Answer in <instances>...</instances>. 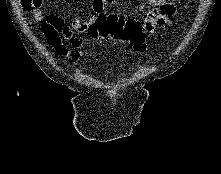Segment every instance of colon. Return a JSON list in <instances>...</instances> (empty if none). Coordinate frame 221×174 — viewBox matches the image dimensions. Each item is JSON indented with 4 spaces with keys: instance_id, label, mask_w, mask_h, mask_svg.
Listing matches in <instances>:
<instances>
[{
    "instance_id": "colon-1",
    "label": "colon",
    "mask_w": 221,
    "mask_h": 174,
    "mask_svg": "<svg viewBox=\"0 0 221 174\" xmlns=\"http://www.w3.org/2000/svg\"><path fill=\"white\" fill-rule=\"evenodd\" d=\"M42 0H21L26 12L34 11ZM91 37L99 40L114 39L125 42L132 50L142 53L147 49V34L137 19H123L118 16L100 15L89 29Z\"/></svg>"
}]
</instances>
